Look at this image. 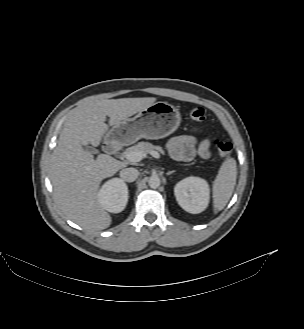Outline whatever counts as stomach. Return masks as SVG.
<instances>
[{
	"label": "stomach",
	"instance_id": "1",
	"mask_svg": "<svg viewBox=\"0 0 304 329\" xmlns=\"http://www.w3.org/2000/svg\"><path fill=\"white\" fill-rule=\"evenodd\" d=\"M181 122L179 110L167 102H156L130 119L113 126L105 135L106 144L129 145L141 138L160 139L173 133Z\"/></svg>",
	"mask_w": 304,
	"mask_h": 329
}]
</instances>
